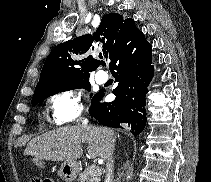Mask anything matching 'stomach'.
I'll list each match as a JSON object with an SVG mask.
<instances>
[{
    "instance_id": "stomach-1",
    "label": "stomach",
    "mask_w": 211,
    "mask_h": 182,
    "mask_svg": "<svg viewBox=\"0 0 211 182\" xmlns=\"http://www.w3.org/2000/svg\"><path fill=\"white\" fill-rule=\"evenodd\" d=\"M79 173V165L75 162H64L59 170L60 178L65 182H73Z\"/></svg>"
}]
</instances>
